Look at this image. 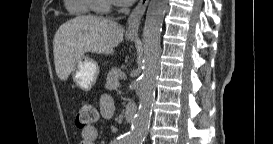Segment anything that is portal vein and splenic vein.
<instances>
[{"label": "portal vein and splenic vein", "instance_id": "obj_1", "mask_svg": "<svg viewBox=\"0 0 273 144\" xmlns=\"http://www.w3.org/2000/svg\"><path fill=\"white\" fill-rule=\"evenodd\" d=\"M120 77L123 79L125 77V73H121Z\"/></svg>", "mask_w": 273, "mask_h": 144}]
</instances>
